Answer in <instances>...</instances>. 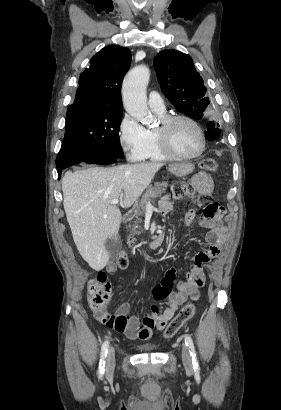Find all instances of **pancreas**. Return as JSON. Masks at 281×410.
Wrapping results in <instances>:
<instances>
[{
	"label": "pancreas",
	"instance_id": "cf45deb5",
	"mask_svg": "<svg viewBox=\"0 0 281 410\" xmlns=\"http://www.w3.org/2000/svg\"><path fill=\"white\" fill-rule=\"evenodd\" d=\"M166 182H156L154 185H150L146 190V193L142 196L141 202L136 206L135 209V221H134V228L131 230V234L128 237V243L131 244L135 241V238L132 236L135 234H140L138 230L135 228L138 224L142 223V217L145 215L146 212V203L147 202H154V199L161 197L162 194L165 193L167 188ZM139 229H141L139 227Z\"/></svg>",
	"mask_w": 281,
	"mask_h": 410
}]
</instances>
